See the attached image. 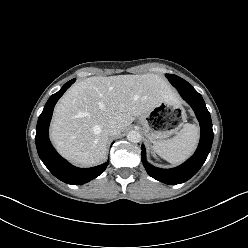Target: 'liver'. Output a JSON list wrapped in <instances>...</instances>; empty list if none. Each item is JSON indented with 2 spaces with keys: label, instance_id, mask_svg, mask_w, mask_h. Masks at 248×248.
I'll return each instance as SVG.
<instances>
[{
  "label": "liver",
  "instance_id": "obj_1",
  "mask_svg": "<svg viewBox=\"0 0 248 248\" xmlns=\"http://www.w3.org/2000/svg\"><path fill=\"white\" fill-rule=\"evenodd\" d=\"M162 102H176L168 81L156 74L89 77L73 85L57 103L51 139L59 153L81 166L101 163L107 154L105 126L121 131Z\"/></svg>",
  "mask_w": 248,
  "mask_h": 248
}]
</instances>
